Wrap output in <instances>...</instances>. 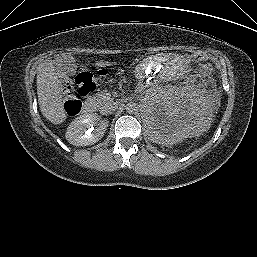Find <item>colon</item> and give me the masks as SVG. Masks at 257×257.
<instances>
[{"instance_id": "5ec220e1", "label": "colon", "mask_w": 257, "mask_h": 257, "mask_svg": "<svg viewBox=\"0 0 257 257\" xmlns=\"http://www.w3.org/2000/svg\"><path fill=\"white\" fill-rule=\"evenodd\" d=\"M193 58L198 62H205L207 55L204 53H195ZM107 73L99 72L98 75H93L87 70H82L76 77L75 88H69L65 94L64 107L68 114L75 115L79 112L82 100L94 92L99 80L105 78Z\"/></svg>"}]
</instances>
